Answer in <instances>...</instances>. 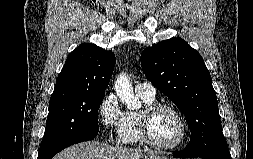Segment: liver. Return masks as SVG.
Wrapping results in <instances>:
<instances>
[{
	"label": "liver",
	"mask_w": 253,
	"mask_h": 159,
	"mask_svg": "<svg viewBox=\"0 0 253 159\" xmlns=\"http://www.w3.org/2000/svg\"><path fill=\"white\" fill-rule=\"evenodd\" d=\"M52 159H168L148 150L114 147L98 141L70 146Z\"/></svg>",
	"instance_id": "6515ba94"
}]
</instances>
